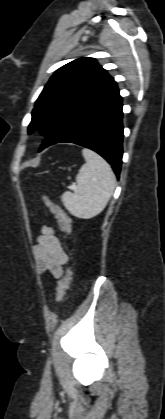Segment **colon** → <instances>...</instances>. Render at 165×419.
I'll return each mask as SVG.
<instances>
[{
	"label": "colon",
	"instance_id": "5ec220e1",
	"mask_svg": "<svg viewBox=\"0 0 165 419\" xmlns=\"http://www.w3.org/2000/svg\"><path fill=\"white\" fill-rule=\"evenodd\" d=\"M41 197L46 206L49 208L50 212L56 218L60 230L63 233L68 234L70 232L71 225L70 218L67 215V213L62 209V207L59 204L52 200V198L48 194L42 193ZM71 278L72 269L70 266H68L57 287V300L59 302H62L64 300L66 293L70 287Z\"/></svg>",
	"mask_w": 165,
	"mask_h": 419
}]
</instances>
